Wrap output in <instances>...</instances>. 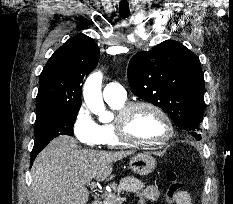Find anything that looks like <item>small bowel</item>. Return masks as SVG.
<instances>
[{
	"label": "small bowel",
	"mask_w": 233,
	"mask_h": 204,
	"mask_svg": "<svg viewBox=\"0 0 233 204\" xmlns=\"http://www.w3.org/2000/svg\"><path fill=\"white\" fill-rule=\"evenodd\" d=\"M159 198V190L154 186L144 188L139 194L138 204L154 202ZM175 204H192L190 195L184 191L174 201Z\"/></svg>",
	"instance_id": "1"
}]
</instances>
